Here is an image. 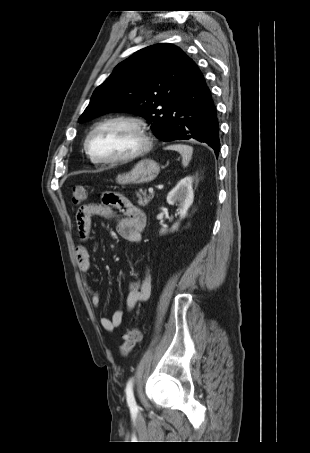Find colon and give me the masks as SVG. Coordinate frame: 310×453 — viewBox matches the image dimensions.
Here are the masks:
<instances>
[{"label":"colon","instance_id":"colon-1","mask_svg":"<svg viewBox=\"0 0 310 453\" xmlns=\"http://www.w3.org/2000/svg\"><path fill=\"white\" fill-rule=\"evenodd\" d=\"M104 195L103 200L106 199ZM88 191L87 187L84 185H74L72 187V202L76 205L82 204L87 200ZM141 340V332L137 328H132L126 331L123 336V343L120 346V353L123 356H127L136 346V344Z\"/></svg>","mask_w":310,"mask_h":453}]
</instances>
